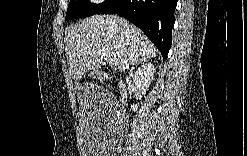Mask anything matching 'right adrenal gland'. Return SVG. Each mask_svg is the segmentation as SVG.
Listing matches in <instances>:
<instances>
[{
	"mask_svg": "<svg viewBox=\"0 0 247 156\" xmlns=\"http://www.w3.org/2000/svg\"><path fill=\"white\" fill-rule=\"evenodd\" d=\"M143 62H147V60L141 59L138 63H136V65L139 64V63H143ZM133 69H134V67L131 68L130 72H132Z\"/></svg>",
	"mask_w": 247,
	"mask_h": 156,
	"instance_id": "right-adrenal-gland-1",
	"label": "right adrenal gland"
}]
</instances>
